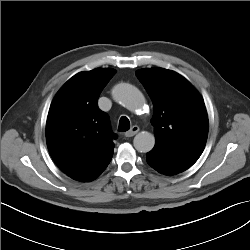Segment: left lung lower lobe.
Instances as JSON below:
<instances>
[{
	"instance_id": "0a47b994",
	"label": "left lung lower lobe",
	"mask_w": 250,
	"mask_h": 250,
	"mask_svg": "<svg viewBox=\"0 0 250 250\" xmlns=\"http://www.w3.org/2000/svg\"><path fill=\"white\" fill-rule=\"evenodd\" d=\"M147 163L165 175H175L187 170L200 157L190 153H172L153 148L146 154Z\"/></svg>"
}]
</instances>
